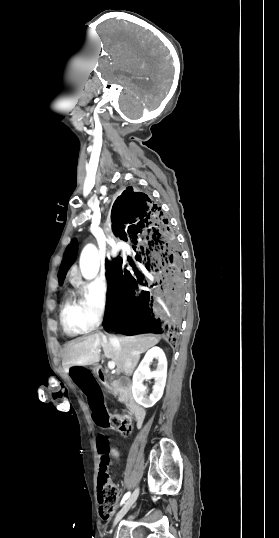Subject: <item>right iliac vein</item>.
Returning <instances> with one entry per match:
<instances>
[{"instance_id": "63e3f726", "label": "right iliac vein", "mask_w": 279, "mask_h": 538, "mask_svg": "<svg viewBox=\"0 0 279 538\" xmlns=\"http://www.w3.org/2000/svg\"><path fill=\"white\" fill-rule=\"evenodd\" d=\"M138 495H139V488H137L133 492V494L129 497V499L126 501V503L121 508V510L117 513V515H116V517L114 519V522H113V526H115L125 516V514L128 512V510L131 508V506L137 500Z\"/></svg>"}]
</instances>
